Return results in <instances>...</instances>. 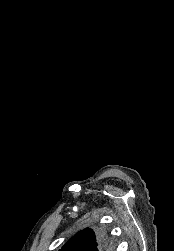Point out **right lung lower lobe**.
I'll return each instance as SVG.
<instances>
[{"mask_svg":"<svg viewBox=\"0 0 174 251\" xmlns=\"http://www.w3.org/2000/svg\"><path fill=\"white\" fill-rule=\"evenodd\" d=\"M98 248L102 250V248H109V243L104 235L100 236V241L98 247H96L93 251H98ZM108 250V249H107Z\"/></svg>","mask_w":174,"mask_h":251,"instance_id":"1","label":"right lung lower lobe"}]
</instances>
